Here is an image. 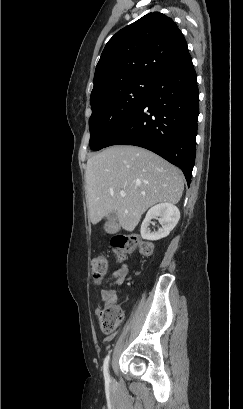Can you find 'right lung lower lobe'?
I'll return each mask as SVG.
<instances>
[{
  "mask_svg": "<svg viewBox=\"0 0 243 409\" xmlns=\"http://www.w3.org/2000/svg\"><path fill=\"white\" fill-rule=\"evenodd\" d=\"M197 76L186 51L153 84L138 109L106 144L146 148L178 166L187 184L195 162Z\"/></svg>",
  "mask_w": 243,
  "mask_h": 409,
  "instance_id": "98d812e1",
  "label": "right lung lower lobe"
}]
</instances>
